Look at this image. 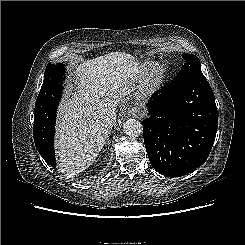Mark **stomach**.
<instances>
[{"label": "stomach", "mask_w": 245, "mask_h": 245, "mask_svg": "<svg viewBox=\"0 0 245 245\" xmlns=\"http://www.w3.org/2000/svg\"><path fill=\"white\" fill-rule=\"evenodd\" d=\"M144 53V51H138L137 52V54L139 55V54H143Z\"/></svg>", "instance_id": "1"}]
</instances>
